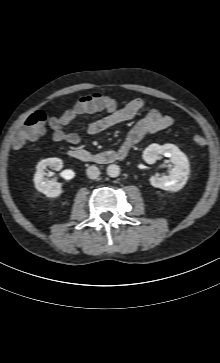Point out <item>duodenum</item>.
I'll list each match as a JSON object with an SVG mask.
<instances>
[{
	"instance_id": "410a0bca",
	"label": "duodenum",
	"mask_w": 220,
	"mask_h": 363,
	"mask_svg": "<svg viewBox=\"0 0 220 363\" xmlns=\"http://www.w3.org/2000/svg\"><path fill=\"white\" fill-rule=\"evenodd\" d=\"M130 149L121 147L118 150H108L100 153H92L84 149H73L69 151L70 157L87 163L112 164L124 160Z\"/></svg>"
}]
</instances>
